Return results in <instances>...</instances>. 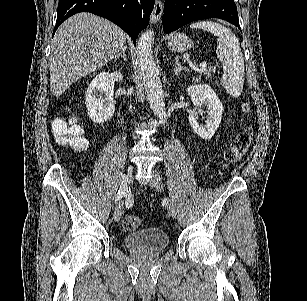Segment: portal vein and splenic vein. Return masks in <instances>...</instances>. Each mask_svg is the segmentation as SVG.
<instances>
[{"instance_id": "18ae733b", "label": "portal vein and splenic vein", "mask_w": 307, "mask_h": 301, "mask_svg": "<svg viewBox=\"0 0 307 301\" xmlns=\"http://www.w3.org/2000/svg\"><path fill=\"white\" fill-rule=\"evenodd\" d=\"M194 70H198V72H204V70H207V62H200L199 68H194Z\"/></svg>"}]
</instances>
